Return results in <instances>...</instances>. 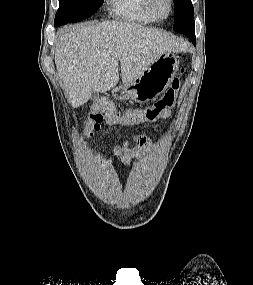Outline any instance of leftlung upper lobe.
Here are the masks:
<instances>
[{"instance_id":"obj_1","label":"left lung upper lobe","mask_w":253,"mask_h":285,"mask_svg":"<svg viewBox=\"0 0 253 285\" xmlns=\"http://www.w3.org/2000/svg\"><path fill=\"white\" fill-rule=\"evenodd\" d=\"M173 2L175 13L173 29L183 34L194 29V8L191 0H173Z\"/></svg>"}]
</instances>
